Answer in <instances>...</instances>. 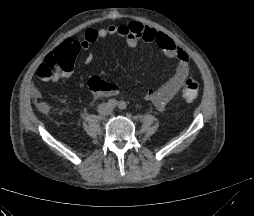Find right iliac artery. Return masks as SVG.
Returning <instances> with one entry per match:
<instances>
[{
    "label": "right iliac artery",
    "instance_id": "right-iliac-artery-1",
    "mask_svg": "<svg viewBox=\"0 0 254 216\" xmlns=\"http://www.w3.org/2000/svg\"><path fill=\"white\" fill-rule=\"evenodd\" d=\"M108 105H109L110 107H115V106L117 105V101H116L115 99H110V100L108 101Z\"/></svg>",
    "mask_w": 254,
    "mask_h": 216
}]
</instances>
